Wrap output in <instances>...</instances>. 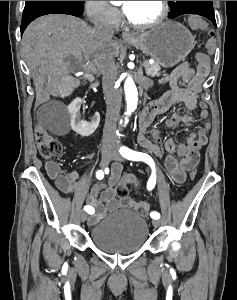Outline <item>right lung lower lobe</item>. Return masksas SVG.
I'll return each instance as SVG.
<instances>
[{"instance_id": "1", "label": "right lung lower lobe", "mask_w": 237, "mask_h": 300, "mask_svg": "<svg viewBox=\"0 0 237 300\" xmlns=\"http://www.w3.org/2000/svg\"><path fill=\"white\" fill-rule=\"evenodd\" d=\"M83 10H84L83 6H68V7L51 8L44 11H40L39 13L29 18L22 19L21 34H23L25 28L30 24V22H32L34 19L40 16L47 15V14H69V15L79 17L82 15Z\"/></svg>"}]
</instances>
